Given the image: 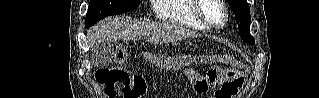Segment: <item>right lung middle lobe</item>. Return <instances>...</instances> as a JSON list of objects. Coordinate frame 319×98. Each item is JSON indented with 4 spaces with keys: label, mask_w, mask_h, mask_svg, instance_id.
<instances>
[{
    "label": "right lung middle lobe",
    "mask_w": 319,
    "mask_h": 98,
    "mask_svg": "<svg viewBox=\"0 0 319 98\" xmlns=\"http://www.w3.org/2000/svg\"><path fill=\"white\" fill-rule=\"evenodd\" d=\"M139 4L140 0H90L85 26L89 28L107 16L134 10Z\"/></svg>",
    "instance_id": "1"
}]
</instances>
